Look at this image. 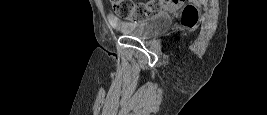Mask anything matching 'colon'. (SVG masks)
Returning <instances> with one entry per match:
<instances>
[{
	"instance_id": "colon-1",
	"label": "colon",
	"mask_w": 267,
	"mask_h": 115,
	"mask_svg": "<svg viewBox=\"0 0 267 115\" xmlns=\"http://www.w3.org/2000/svg\"><path fill=\"white\" fill-rule=\"evenodd\" d=\"M114 9L116 13L125 19L140 22L148 19L152 15L163 12V8L158 3H134L131 0H115ZM181 21L185 26H194L198 21V10L193 5L183 8Z\"/></svg>"
}]
</instances>
